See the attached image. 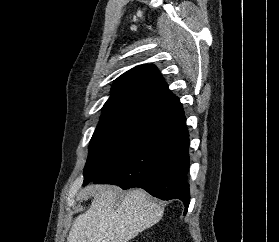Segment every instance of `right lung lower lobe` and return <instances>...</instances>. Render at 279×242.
I'll list each match as a JSON object with an SVG mask.
<instances>
[{
	"label": "right lung lower lobe",
	"mask_w": 279,
	"mask_h": 242,
	"mask_svg": "<svg viewBox=\"0 0 279 242\" xmlns=\"http://www.w3.org/2000/svg\"><path fill=\"white\" fill-rule=\"evenodd\" d=\"M189 133L183 108L161 116L154 134L104 174L84 179V185L115 184L123 189L139 187L162 200L179 199L186 214L190 203Z\"/></svg>",
	"instance_id": "98d812e1"
}]
</instances>
